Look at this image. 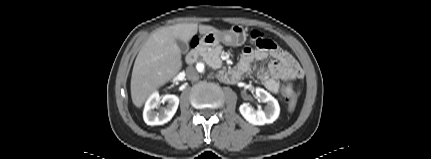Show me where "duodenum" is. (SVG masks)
<instances>
[{"mask_svg": "<svg viewBox=\"0 0 431 159\" xmlns=\"http://www.w3.org/2000/svg\"><path fill=\"white\" fill-rule=\"evenodd\" d=\"M206 40H193L191 43V50L186 56V62L192 64L196 61L199 56L200 51L206 45ZM239 76V71L230 69L225 71V79H235Z\"/></svg>", "mask_w": 431, "mask_h": 159, "instance_id": "410a0bca", "label": "duodenum"}]
</instances>
